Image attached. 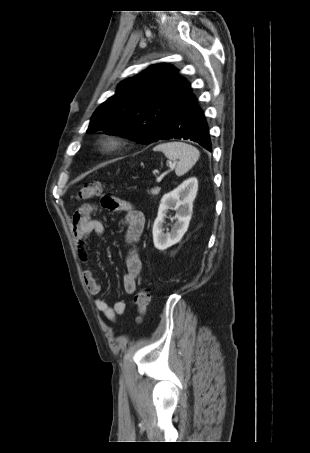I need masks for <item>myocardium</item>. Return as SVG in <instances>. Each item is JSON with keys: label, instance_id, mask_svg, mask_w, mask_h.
Returning <instances> with one entry per match:
<instances>
[{"label": "myocardium", "instance_id": "1", "mask_svg": "<svg viewBox=\"0 0 310 453\" xmlns=\"http://www.w3.org/2000/svg\"><path fill=\"white\" fill-rule=\"evenodd\" d=\"M123 146V140L116 135H105L99 142L100 150L104 153L113 152L121 149Z\"/></svg>", "mask_w": 310, "mask_h": 453}]
</instances>
